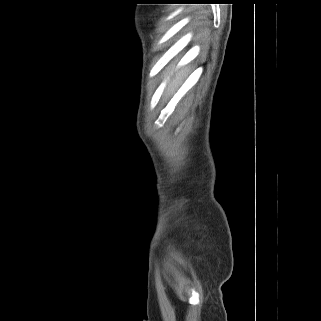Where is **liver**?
Segmentation results:
<instances>
[{"label": "liver", "instance_id": "liver-1", "mask_svg": "<svg viewBox=\"0 0 321 321\" xmlns=\"http://www.w3.org/2000/svg\"><path fill=\"white\" fill-rule=\"evenodd\" d=\"M188 71V69H184L176 75V77L168 85L166 95H170L171 93L175 92L176 88L182 83L183 79L187 76Z\"/></svg>", "mask_w": 321, "mask_h": 321}]
</instances>
